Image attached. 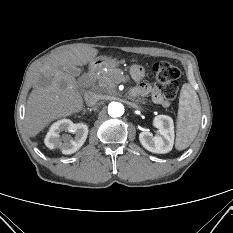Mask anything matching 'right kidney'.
<instances>
[{
	"mask_svg": "<svg viewBox=\"0 0 233 233\" xmlns=\"http://www.w3.org/2000/svg\"><path fill=\"white\" fill-rule=\"evenodd\" d=\"M68 131L74 137L60 133ZM88 135V126L84 123L74 124L69 119H62L51 125L46 137L45 145L49 149L60 148L63 154H72L82 147Z\"/></svg>",
	"mask_w": 233,
	"mask_h": 233,
	"instance_id": "1",
	"label": "right kidney"
}]
</instances>
